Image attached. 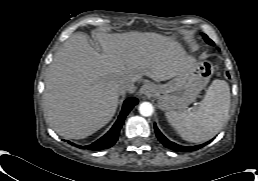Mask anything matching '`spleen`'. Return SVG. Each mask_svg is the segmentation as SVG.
<instances>
[{"label": "spleen", "instance_id": "1", "mask_svg": "<svg viewBox=\"0 0 258 181\" xmlns=\"http://www.w3.org/2000/svg\"><path fill=\"white\" fill-rule=\"evenodd\" d=\"M230 109V88L214 80L196 110L166 112V118L186 141L198 143L215 136L224 126Z\"/></svg>", "mask_w": 258, "mask_h": 181}]
</instances>
